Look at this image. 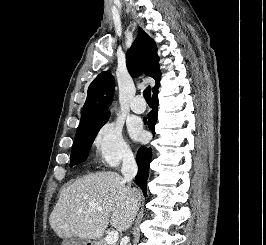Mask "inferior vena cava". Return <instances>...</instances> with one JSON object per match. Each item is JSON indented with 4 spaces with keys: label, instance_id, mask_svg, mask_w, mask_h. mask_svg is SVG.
<instances>
[{
    "label": "inferior vena cava",
    "instance_id": "602c4592",
    "mask_svg": "<svg viewBox=\"0 0 266 245\" xmlns=\"http://www.w3.org/2000/svg\"><path fill=\"white\" fill-rule=\"evenodd\" d=\"M121 173L124 181H127L129 187H131V181L138 173V167L133 157V153H130V155H124Z\"/></svg>",
    "mask_w": 266,
    "mask_h": 245
}]
</instances>
